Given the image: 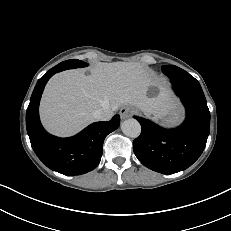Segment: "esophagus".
<instances>
[{
  "instance_id": "34e87169",
  "label": "esophagus",
  "mask_w": 231,
  "mask_h": 231,
  "mask_svg": "<svg viewBox=\"0 0 231 231\" xmlns=\"http://www.w3.org/2000/svg\"><path fill=\"white\" fill-rule=\"evenodd\" d=\"M133 113V109L129 106H124L120 109V115L123 119L129 118Z\"/></svg>"
}]
</instances>
